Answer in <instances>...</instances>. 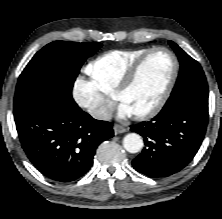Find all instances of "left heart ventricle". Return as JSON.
<instances>
[{
  "label": "left heart ventricle",
  "instance_id": "1",
  "mask_svg": "<svg viewBox=\"0 0 222 219\" xmlns=\"http://www.w3.org/2000/svg\"><path fill=\"white\" fill-rule=\"evenodd\" d=\"M172 71V58L166 52L150 55L142 64L133 85L120 98L133 114L151 108L162 95Z\"/></svg>",
  "mask_w": 222,
  "mask_h": 219
}]
</instances>
